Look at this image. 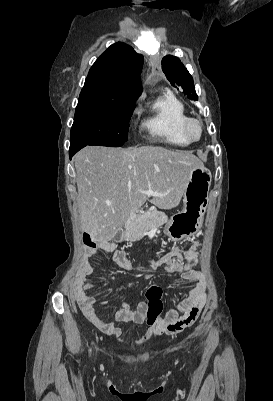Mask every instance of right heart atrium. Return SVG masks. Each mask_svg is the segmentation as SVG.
<instances>
[{
  "label": "right heart atrium",
  "mask_w": 273,
  "mask_h": 401,
  "mask_svg": "<svg viewBox=\"0 0 273 401\" xmlns=\"http://www.w3.org/2000/svg\"><path fill=\"white\" fill-rule=\"evenodd\" d=\"M137 112H138V110H135V111H134V113H137Z\"/></svg>",
  "instance_id": "obj_1"
}]
</instances>
